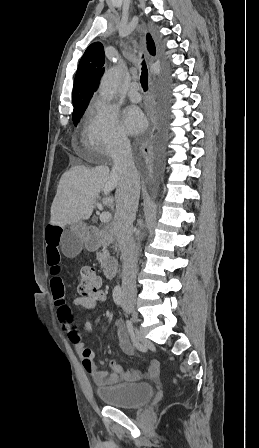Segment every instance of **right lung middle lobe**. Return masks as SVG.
<instances>
[{
	"mask_svg": "<svg viewBox=\"0 0 259 448\" xmlns=\"http://www.w3.org/2000/svg\"><path fill=\"white\" fill-rule=\"evenodd\" d=\"M86 108L73 110V122L77 125Z\"/></svg>",
	"mask_w": 259,
	"mask_h": 448,
	"instance_id": "dd1d6c3e",
	"label": "right lung middle lobe"
}]
</instances>
